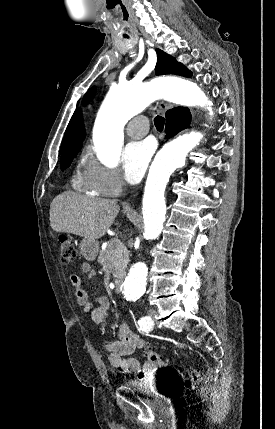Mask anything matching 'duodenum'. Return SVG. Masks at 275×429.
<instances>
[{
	"mask_svg": "<svg viewBox=\"0 0 275 429\" xmlns=\"http://www.w3.org/2000/svg\"><path fill=\"white\" fill-rule=\"evenodd\" d=\"M122 284H123V278L122 277L119 276V277H117L114 280V289H115L116 292H120L121 291Z\"/></svg>",
	"mask_w": 275,
	"mask_h": 429,
	"instance_id": "duodenum-1",
	"label": "duodenum"
}]
</instances>
